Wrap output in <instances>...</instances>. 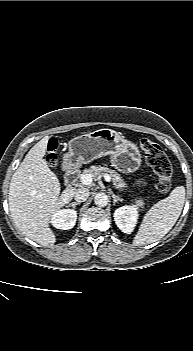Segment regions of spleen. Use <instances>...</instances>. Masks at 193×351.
Instances as JSON below:
<instances>
[{"label":"spleen","mask_w":193,"mask_h":351,"mask_svg":"<svg viewBox=\"0 0 193 351\" xmlns=\"http://www.w3.org/2000/svg\"><path fill=\"white\" fill-rule=\"evenodd\" d=\"M185 202V187L178 186L170 195L152 206L134 237V245H146L163 238L175 225Z\"/></svg>","instance_id":"1"}]
</instances>
